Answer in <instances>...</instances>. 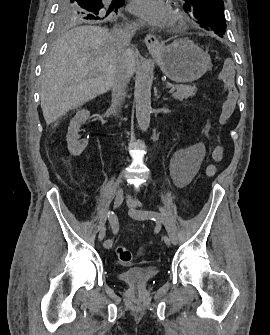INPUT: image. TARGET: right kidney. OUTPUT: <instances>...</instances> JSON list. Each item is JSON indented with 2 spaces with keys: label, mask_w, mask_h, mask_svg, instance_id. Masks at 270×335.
Listing matches in <instances>:
<instances>
[{
  "label": "right kidney",
  "mask_w": 270,
  "mask_h": 335,
  "mask_svg": "<svg viewBox=\"0 0 270 335\" xmlns=\"http://www.w3.org/2000/svg\"><path fill=\"white\" fill-rule=\"evenodd\" d=\"M89 116L90 112L88 110H79L70 122L66 138L68 150L72 156H80L86 146H88V140H79L78 132H80L82 124H85Z\"/></svg>",
  "instance_id": "right-kidney-1"
}]
</instances>
